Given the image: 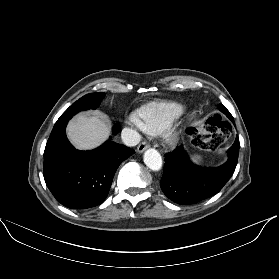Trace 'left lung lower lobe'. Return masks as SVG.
<instances>
[{
  "label": "left lung lower lobe",
  "mask_w": 279,
  "mask_h": 279,
  "mask_svg": "<svg viewBox=\"0 0 279 279\" xmlns=\"http://www.w3.org/2000/svg\"><path fill=\"white\" fill-rule=\"evenodd\" d=\"M239 146V138L236 137L227 151V162L207 168L192 164L182 146L176 148L165 155L161 189L170 200L181 205L194 204L217 194L234 173Z\"/></svg>",
  "instance_id": "left-lung-lower-lobe-1"
}]
</instances>
